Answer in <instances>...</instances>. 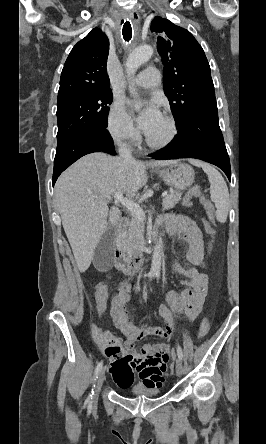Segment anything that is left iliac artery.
Here are the masks:
<instances>
[{"mask_svg":"<svg viewBox=\"0 0 266 444\" xmlns=\"http://www.w3.org/2000/svg\"><path fill=\"white\" fill-rule=\"evenodd\" d=\"M157 277H159V275H157ZM177 355L180 360L183 359V352H182V349L179 345L177 346Z\"/></svg>","mask_w":266,"mask_h":444,"instance_id":"1","label":"left iliac artery"}]
</instances>
